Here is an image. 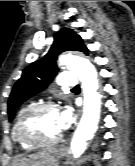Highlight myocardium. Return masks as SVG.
Listing matches in <instances>:
<instances>
[{"instance_id": "1", "label": "myocardium", "mask_w": 135, "mask_h": 166, "mask_svg": "<svg viewBox=\"0 0 135 166\" xmlns=\"http://www.w3.org/2000/svg\"><path fill=\"white\" fill-rule=\"evenodd\" d=\"M44 110H56L59 111V105L54 102H41L26 108L23 113L20 115L17 125L16 132L18 139L31 147H44V146H53L59 143L63 138V133L52 140H40L33 137H30L24 132V125L26 121L34 114L44 111Z\"/></svg>"}]
</instances>
